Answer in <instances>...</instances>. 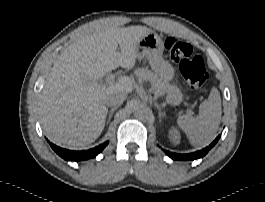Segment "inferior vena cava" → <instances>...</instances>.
Returning a JSON list of instances; mask_svg holds the SVG:
<instances>
[{
    "instance_id": "obj_1",
    "label": "inferior vena cava",
    "mask_w": 265,
    "mask_h": 202,
    "mask_svg": "<svg viewBox=\"0 0 265 202\" xmlns=\"http://www.w3.org/2000/svg\"><path fill=\"white\" fill-rule=\"evenodd\" d=\"M127 98V93L123 91H114L109 93L105 98V104L110 107H120Z\"/></svg>"
}]
</instances>
